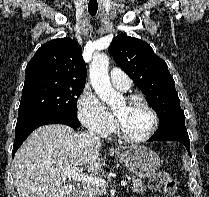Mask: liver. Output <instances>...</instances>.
<instances>
[{
    "label": "liver",
    "instance_id": "liver-1",
    "mask_svg": "<svg viewBox=\"0 0 209 197\" xmlns=\"http://www.w3.org/2000/svg\"><path fill=\"white\" fill-rule=\"evenodd\" d=\"M101 152L100 141L69 126L37 128L15 154L13 177L19 197H69L74 185L66 184L62 169L97 172L105 165Z\"/></svg>",
    "mask_w": 209,
    "mask_h": 197
}]
</instances>
